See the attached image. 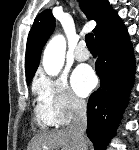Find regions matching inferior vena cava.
I'll return each instance as SVG.
<instances>
[{"instance_id": "602c4592", "label": "inferior vena cava", "mask_w": 139, "mask_h": 150, "mask_svg": "<svg viewBox=\"0 0 139 150\" xmlns=\"http://www.w3.org/2000/svg\"><path fill=\"white\" fill-rule=\"evenodd\" d=\"M74 116L68 126L69 132L73 135L76 150H87L85 131L87 128L86 103L75 98L73 100Z\"/></svg>"}]
</instances>
